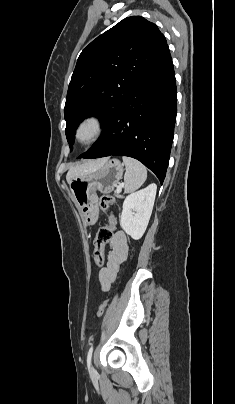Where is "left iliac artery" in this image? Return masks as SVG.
Here are the masks:
<instances>
[{"label": "left iliac artery", "mask_w": 235, "mask_h": 404, "mask_svg": "<svg viewBox=\"0 0 235 404\" xmlns=\"http://www.w3.org/2000/svg\"><path fill=\"white\" fill-rule=\"evenodd\" d=\"M92 353H93V345H91V347H90V349L88 351V355H87V365H88V367H90V365H91Z\"/></svg>", "instance_id": "1"}]
</instances>
